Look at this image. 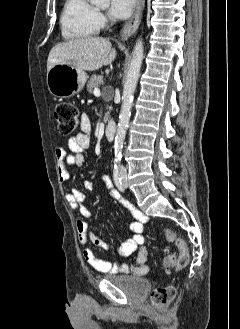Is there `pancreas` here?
Masks as SVG:
<instances>
[{
  "label": "pancreas",
  "mask_w": 240,
  "mask_h": 329,
  "mask_svg": "<svg viewBox=\"0 0 240 329\" xmlns=\"http://www.w3.org/2000/svg\"><path fill=\"white\" fill-rule=\"evenodd\" d=\"M102 82H103L102 76L93 75L90 78V80L88 81L87 91L91 93L93 91V89L97 88L100 84H102ZM102 97L105 101H109V98L107 97V95L104 94ZM108 118H109V112L106 113V115L104 117V121H107Z\"/></svg>",
  "instance_id": "obj_1"
}]
</instances>
